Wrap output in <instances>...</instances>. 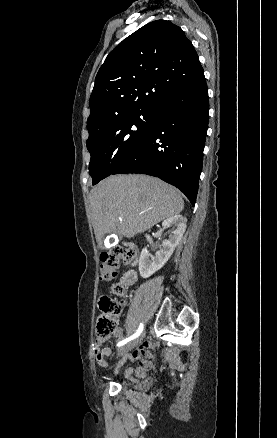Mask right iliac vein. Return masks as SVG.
<instances>
[{
	"label": "right iliac vein",
	"instance_id": "right-iliac-vein-1",
	"mask_svg": "<svg viewBox=\"0 0 277 438\" xmlns=\"http://www.w3.org/2000/svg\"><path fill=\"white\" fill-rule=\"evenodd\" d=\"M144 336H145V333H142L140 336H138L134 340L126 343L125 345H123L121 348L118 349L117 355L121 356V355L129 352L130 350H132L139 343H141V341L143 340Z\"/></svg>",
	"mask_w": 277,
	"mask_h": 438
}]
</instances>
